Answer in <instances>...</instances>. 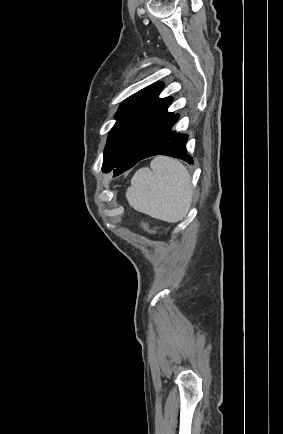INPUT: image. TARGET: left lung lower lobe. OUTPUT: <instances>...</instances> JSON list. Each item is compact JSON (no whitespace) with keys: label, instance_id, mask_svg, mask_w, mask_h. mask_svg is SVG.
<instances>
[{"label":"left lung lower lobe","instance_id":"0a47b994","mask_svg":"<svg viewBox=\"0 0 283 434\" xmlns=\"http://www.w3.org/2000/svg\"><path fill=\"white\" fill-rule=\"evenodd\" d=\"M178 118V114L173 115L166 123V125L157 134V136L146 149L144 154L134 162L118 164L113 169L114 175L116 176L124 172L125 170L133 167L141 159H145L154 155H167L174 158L182 159L189 164L193 163V158L187 154V150L185 147L188 135L177 133L176 131L172 130Z\"/></svg>","mask_w":283,"mask_h":434}]
</instances>
